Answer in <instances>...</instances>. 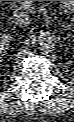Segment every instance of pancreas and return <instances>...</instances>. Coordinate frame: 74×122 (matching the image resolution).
<instances>
[{
	"label": "pancreas",
	"instance_id": "pancreas-1",
	"mask_svg": "<svg viewBox=\"0 0 74 122\" xmlns=\"http://www.w3.org/2000/svg\"><path fill=\"white\" fill-rule=\"evenodd\" d=\"M34 1H16L15 3L21 8V9H29L32 6V3Z\"/></svg>",
	"mask_w": 74,
	"mask_h": 122
}]
</instances>
